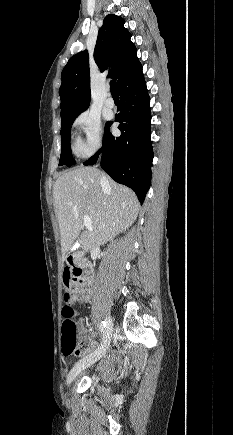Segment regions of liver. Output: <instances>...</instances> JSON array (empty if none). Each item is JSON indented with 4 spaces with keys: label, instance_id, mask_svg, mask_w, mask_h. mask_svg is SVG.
<instances>
[{
    "label": "liver",
    "instance_id": "6515ba94",
    "mask_svg": "<svg viewBox=\"0 0 233 435\" xmlns=\"http://www.w3.org/2000/svg\"><path fill=\"white\" fill-rule=\"evenodd\" d=\"M95 167L80 166L63 173L53 187L54 208L59 223L61 249L65 254L76 239L92 251L125 231L137 218L135 193L105 176ZM84 216L93 230L83 231Z\"/></svg>",
    "mask_w": 233,
    "mask_h": 435
}]
</instances>
